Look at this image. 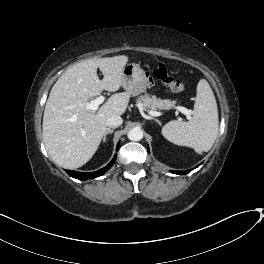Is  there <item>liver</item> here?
<instances>
[{"mask_svg": "<svg viewBox=\"0 0 264 264\" xmlns=\"http://www.w3.org/2000/svg\"><path fill=\"white\" fill-rule=\"evenodd\" d=\"M128 60L125 55L87 59L68 68L56 81L45 105L42 127L45 147L55 163L66 169L86 164L107 130L106 120L126 111L127 92L113 94L98 111L84 105L103 90H119Z\"/></svg>", "mask_w": 264, "mask_h": 264, "instance_id": "1", "label": "liver"}]
</instances>
